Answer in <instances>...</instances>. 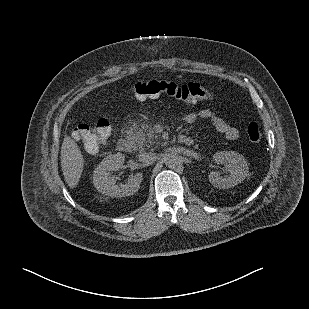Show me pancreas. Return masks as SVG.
<instances>
[{
	"mask_svg": "<svg viewBox=\"0 0 309 309\" xmlns=\"http://www.w3.org/2000/svg\"><path fill=\"white\" fill-rule=\"evenodd\" d=\"M134 136L137 140L142 141L143 143L148 142L153 145L157 142V134H155L153 128H149L148 130L140 129Z\"/></svg>",
	"mask_w": 309,
	"mask_h": 309,
	"instance_id": "cf45deb5",
	"label": "pancreas"
}]
</instances>
